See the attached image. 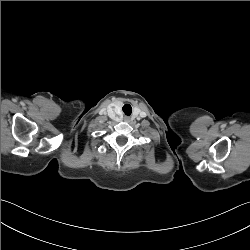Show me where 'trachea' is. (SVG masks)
<instances>
[{
    "mask_svg": "<svg viewBox=\"0 0 250 250\" xmlns=\"http://www.w3.org/2000/svg\"><path fill=\"white\" fill-rule=\"evenodd\" d=\"M123 111H124V113H125L126 115H130V114H131V111H132V108H131L130 105L126 104V105H124V107H123Z\"/></svg>",
    "mask_w": 250,
    "mask_h": 250,
    "instance_id": "1",
    "label": "trachea"
}]
</instances>
